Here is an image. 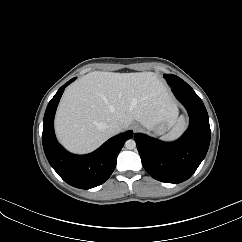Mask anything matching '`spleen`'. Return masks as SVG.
Masks as SVG:
<instances>
[{
    "label": "spleen",
    "mask_w": 242,
    "mask_h": 242,
    "mask_svg": "<svg viewBox=\"0 0 242 242\" xmlns=\"http://www.w3.org/2000/svg\"><path fill=\"white\" fill-rule=\"evenodd\" d=\"M186 124L184 120H179L172 130L164 136L165 140H174L178 138L181 133L185 130Z\"/></svg>",
    "instance_id": "obj_1"
}]
</instances>
